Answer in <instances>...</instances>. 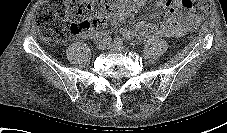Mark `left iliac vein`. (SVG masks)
<instances>
[{
  "instance_id": "1",
  "label": "left iliac vein",
  "mask_w": 227,
  "mask_h": 133,
  "mask_svg": "<svg viewBox=\"0 0 227 133\" xmlns=\"http://www.w3.org/2000/svg\"><path fill=\"white\" fill-rule=\"evenodd\" d=\"M125 47L123 45H116V44H109L108 49L113 50V51H121Z\"/></svg>"
}]
</instances>
